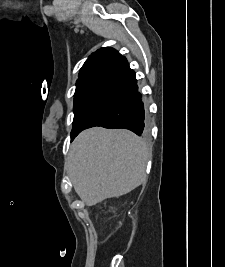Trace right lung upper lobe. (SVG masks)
Segmentation results:
<instances>
[{
  "label": "right lung upper lobe",
  "mask_w": 225,
  "mask_h": 267,
  "mask_svg": "<svg viewBox=\"0 0 225 267\" xmlns=\"http://www.w3.org/2000/svg\"><path fill=\"white\" fill-rule=\"evenodd\" d=\"M119 56L121 55L113 48L105 47L97 50L89 56L80 69L77 82L98 78Z\"/></svg>",
  "instance_id": "right-lung-upper-lobe-1"
}]
</instances>
